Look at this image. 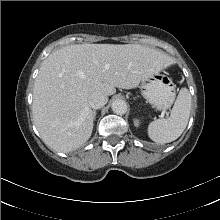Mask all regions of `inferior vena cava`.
I'll use <instances>...</instances> for the list:
<instances>
[{"label":"inferior vena cava","mask_w":220,"mask_h":220,"mask_svg":"<svg viewBox=\"0 0 220 220\" xmlns=\"http://www.w3.org/2000/svg\"><path fill=\"white\" fill-rule=\"evenodd\" d=\"M106 102V97L99 92H94L88 97V105L92 109H100L106 104Z\"/></svg>","instance_id":"obj_1"}]
</instances>
